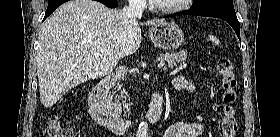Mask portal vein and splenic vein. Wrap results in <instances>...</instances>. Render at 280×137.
<instances>
[{
    "label": "portal vein and splenic vein",
    "mask_w": 280,
    "mask_h": 137,
    "mask_svg": "<svg viewBox=\"0 0 280 137\" xmlns=\"http://www.w3.org/2000/svg\"><path fill=\"white\" fill-rule=\"evenodd\" d=\"M97 55H100V54H97ZM164 65H165L164 62H160V63L158 64V68H162Z\"/></svg>",
    "instance_id": "obj_1"
}]
</instances>
